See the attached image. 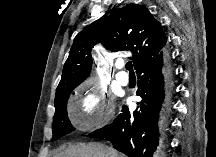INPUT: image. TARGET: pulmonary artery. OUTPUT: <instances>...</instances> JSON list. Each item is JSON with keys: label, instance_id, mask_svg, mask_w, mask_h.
Here are the masks:
<instances>
[{"label": "pulmonary artery", "instance_id": "pulmonary-artery-1", "mask_svg": "<svg viewBox=\"0 0 216 157\" xmlns=\"http://www.w3.org/2000/svg\"><path fill=\"white\" fill-rule=\"evenodd\" d=\"M121 67L122 66H119V68H121ZM116 79L121 85H127L129 82V77H128L127 73L124 71H119L116 74Z\"/></svg>", "mask_w": 216, "mask_h": 157}]
</instances>
